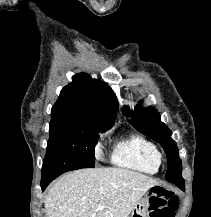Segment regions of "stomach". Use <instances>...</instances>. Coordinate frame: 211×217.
I'll return each mask as SVG.
<instances>
[{"instance_id":"obj_1","label":"stomach","mask_w":211,"mask_h":217,"mask_svg":"<svg viewBox=\"0 0 211 217\" xmlns=\"http://www.w3.org/2000/svg\"><path fill=\"white\" fill-rule=\"evenodd\" d=\"M149 201L147 197L142 198L135 205L131 212V217H149Z\"/></svg>"}]
</instances>
